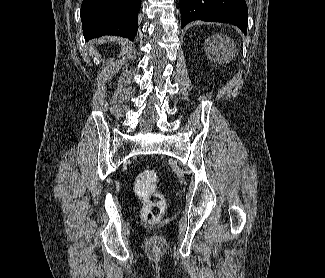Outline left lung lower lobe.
<instances>
[{
  "mask_svg": "<svg viewBox=\"0 0 325 278\" xmlns=\"http://www.w3.org/2000/svg\"><path fill=\"white\" fill-rule=\"evenodd\" d=\"M181 28L194 20L230 23L246 35L248 9L245 0H179Z\"/></svg>",
  "mask_w": 325,
  "mask_h": 278,
  "instance_id": "0a47b994",
  "label": "left lung lower lobe"
}]
</instances>
